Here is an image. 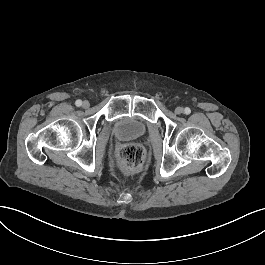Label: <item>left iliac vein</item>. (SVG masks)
I'll return each instance as SVG.
<instances>
[{
	"label": "left iliac vein",
	"mask_w": 265,
	"mask_h": 265,
	"mask_svg": "<svg viewBox=\"0 0 265 265\" xmlns=\"http://www.w3.org/2000/svg\"><path fill=\"white\" fill-rule=\"evenodd\" d=\"M175 113H176V114H181V113H183V108L180 107V106L176 107V108H175Z\"/></svg>",
	"instance_id": "1"
}]
</instances>
